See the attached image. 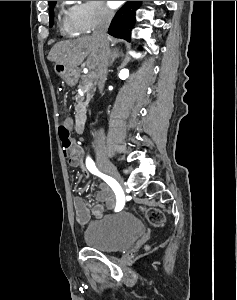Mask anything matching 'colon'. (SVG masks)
I'll use <instances>...</instances> for the list:
<instances>
[{
    "label": "colon",
    "mask_w": 237,
    "mask_h": 300,
    "mask_svg": "<svg viewBox=\"0 0 237 300\" xmlns=\"http://www.w3.org/2000/svg\"><path fill=\"white\" fill-rule=\"evenodd\" d=\"M59 137L64 151H69L77 145L76 141L71 136L70 131L63 123L59 126ZM141 210L152 225L159 227L164 224L165 218L159 209L142 207Z\"/></svg>",
    "instance_id": "5ec220e1"
}]
</instances>
